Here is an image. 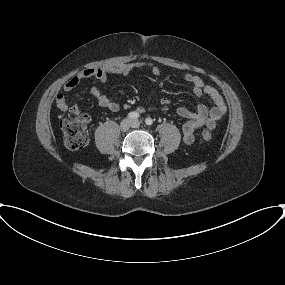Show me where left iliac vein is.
<instances>
[{
    "mask_svg": "<svg viewBox=\"0 0 285 285\" xmlns=\"http://www.w3.org/2000/svg\"><path fill=\"white\" fill-rule=\"evenodd\" d=\"M131 122H132L131 126L133 128H138L140 126V122L138 120H133Z\"/></svg>",
    "mask_w": 285,
    "mask_h": 285,
    "instance_id": "obj_1",
    "label": "left iliac vein"
}]
</instances>
